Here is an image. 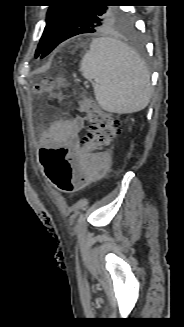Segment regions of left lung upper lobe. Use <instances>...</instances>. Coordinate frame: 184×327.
<instances>
[{
  "label": "left lung upper lobe",
  "mask_w": 184,
  "mask_h": 327,
  "mask_svg": "<svg viewBox=\"0 0 184 327\" xmlns=\"http://www.w3.org/2000/svg\"><path fill=\"white\" fill-rule=\"evenodd\" d=\"M77 3L79 4L50 6L47 12L46 26L35 52L36 58L45 49L58 21L62 17L65 27L74 30L78 34L93 33L109 25L129 26L130 19L127 12L105 5L92 6L82 4V1H77Z\"/></svg>",
  "instance_id": "left-lung-upper-lobe-1"
}]
</instances>
